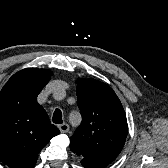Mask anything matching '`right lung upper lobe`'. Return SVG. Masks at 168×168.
I'll use <instances>...</instances> for the list:
<instances>
[{
    "label": "right lung upper lobe",
    "mask_w": 168,
    "mask_h": 168,
    "mask_svg": "<svg viewBox=\"0 0 168 168\" xmlns=\"http://www.w3.org/2000/svg\"><path fill=\"white\" fill-rule=\"evenodd\" d=\"M51 75L46 69H23L0 92V161L11 168H34L39 152L60 133L37 102Z\"/></svg>",
    "instance_id": "right-lung-upper-lobe-1"
}]
</instances>
